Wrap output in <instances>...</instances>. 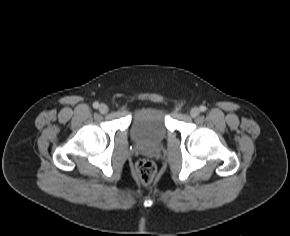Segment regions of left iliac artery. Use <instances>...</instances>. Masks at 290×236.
<instances>
[{
    "label": "left iliac artery",
    "instance_id": "44dca946",
    "mask_svg": "<svg viewBox=\"0 0 290 236\" xmlns=\"http://www.w3.org/2000/svg\"><path fill=\"white\" fill-rule=\"evenodd\" d=\"M200 110H201L202 112H205V111L207 110V108H206V106H201V107H200Z\"/></svg>",
    "mask_w": 290,
    "mask_h": 236
}]
</instances>
